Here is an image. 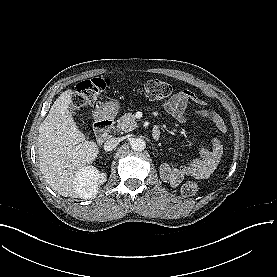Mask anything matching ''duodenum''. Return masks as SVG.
I'll list each match as a JSON object with an SVG mask.
<instances>
[{
	"label": "duodenum",
	"mask_w": 277,
	"mask_h": 277,
	"mask_svg": "<svg viewBox=\"0 0 277 277\" xmlns=\"http://www.w3.org/2000/svg\"><path fill=\"white\" fill-rule=\"evenodd\" d=\"M114 125V120L112 118H108L103 110H98L97 112V120L95 123V131L98 135L100 142H105L109 136L110 131ZM151 137L153 140L157 141L160 138V130L154 129L151 132Z\"/></svg>",
	"instance_id": "obj_1"
}]
</instances>
